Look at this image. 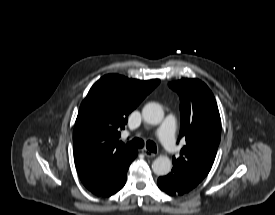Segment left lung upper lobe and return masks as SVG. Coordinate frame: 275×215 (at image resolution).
<instances>
[{"mask_svg": "<svg viewBox=\"0 0 275 215\" xmlns=\"http://www.w3.org/2000/svg\"><path fill=\"white\" fill-rule=\"evenodd\" d=\"M179 94L181 129L186 145L180 157H173V166L204 179L214 162L221 136V119L214 95L198 79L170 82Z\"/></svg>", "mask_w": 275, "mask_h": 215, "instance_id": "5c2ea615", "label": "left lung upper lobe"}]
</instances>
